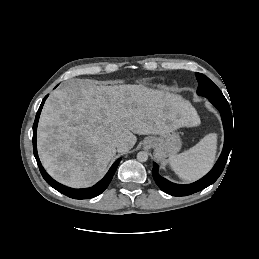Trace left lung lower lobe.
Listing matches in <instances>:
<instances>
[{
	"instance_id": "1",
	"label": "left lung lower lobe",
	"mask_w": 259,
	"mask_h": 259,
	"mask_svg": "<svg viewBox=\"0 0 259 259\" xmlns=\"http://www.w3.org/2000/svg\"><path fill=\"white\" fill-rule=\"evenodd\" d=\"M208 99L221 113V118L224 126V133H225L224 147H223L222 153L218 161L212 168V170L207 175H205L200 180L188 185L175 184L161 177L158 174L159 167L154 162L153 170H152L153 178L157 183V185L160 187V189L167 194H170L173 196H186V195H190L195 192H198L208 187L209 185L213 184L221 175L225 167V164L228 159V155L231 151L232 144H233L232 114H231L230 106L227 100L225 99V97L208 98Z\"/></svg>"
}]
</instances>
